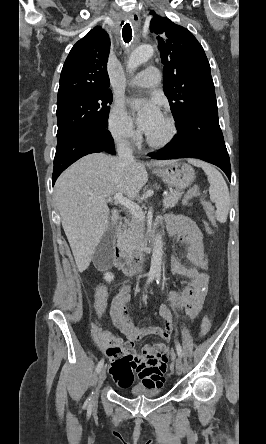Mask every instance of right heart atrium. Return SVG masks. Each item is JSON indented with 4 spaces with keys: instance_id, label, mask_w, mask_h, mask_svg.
Returning <instances> with one entry per match:
<instances>
[{
    "instance_id": "obj_1",
    "label": "right heart atrium",
    "mask_w": 266,
    "mask_h": 444,
    "mask_svg": "<svg viewBox=\"0 0 266 444\" xmlns=\"http://www.w3.org/2000/svg\"><path fill=\"white\" fill-rule=\"evenodd\" d=\"M108 130L117 142L133 143L138 137L134 121L124 103L113 104L108 116Z\"/></svg>"
}]
</instances>
